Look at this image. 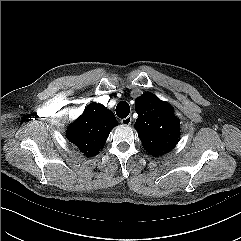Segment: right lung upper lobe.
I'll return each instance as SVG.
<instances>
[{"instance_id": "cb5924a9", "label": "right lung upper lobe", "mask_w": 241, "mask_h": 241, "mask_svg": "<svg viewBox=\"0 0 241 241\" xmlns=\"http://www.w3.org/2000/svg\"><path fill=\"white\" fill-rule=\"evenodd\" d=\"M118 125L114 114L101 104L92 103L67 128V138L86 156H95L111 129Z\"/></svg>"}]
</instances>
